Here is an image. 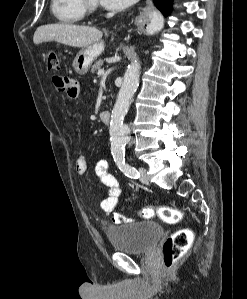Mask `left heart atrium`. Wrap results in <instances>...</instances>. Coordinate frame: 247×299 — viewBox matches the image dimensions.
Wrapping results in <instances>:
<instances>
[{
    "label": "left heart atrium",
    "mask_w": 247,
    "mask_h": 299,
    "mask_svg": "<svg viewBox=\"0 0 247 299\" xmlns=\"http://www.w3.org/2000/svg\"><path fill=\"white\" fill-rule=\"evenodd\" d=\"M102 5L110 9H122L135 0H98Z\"/></svg>",
    "instance_id": "39dd6f15"
}]
</instances>
